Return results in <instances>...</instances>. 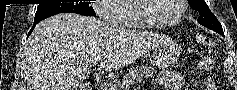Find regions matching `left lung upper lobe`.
I'll use <instances>...</instances> for the list:
<instances>
[{
    "label": "left lung upper lobe",
    "instance_id": "left-lung-upper-lobe-1",
    "mask_svg": "<svg viewBox=\"0 0 237 90\" xmlns=\"http://www.w3.org/2000/svg\"><path fill=\"white\" fill-rule=\"evenodd\" d=\"M189 5L194 9L199 11V18L198 22L219 33L220 35H224L223 29L217 18L211 13V11L208 8V5L204 0H188Z\"/></svg>",
    "mask_w": 237,
    "mask_h": 90
}]
</instances>
